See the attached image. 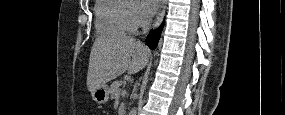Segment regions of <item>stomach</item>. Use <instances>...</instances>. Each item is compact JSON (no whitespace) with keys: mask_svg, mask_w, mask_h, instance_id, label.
<instances>
[{"mask_svg":"<svg viewBox=\"0 0 285 115\" xmlns=\"http://www.w3.org/2000/svg\"><path fill=\"white\" fill-rule=\"evenodd\" d=\"M109 87L105 84L91 92L93 100L97 104H105L109 100Z\"/></svg>","mask_w":285,"mask_h":115,"instance_id":"0dacf381","label":"stomach"}]
</instances>
